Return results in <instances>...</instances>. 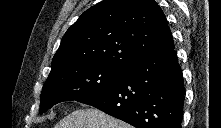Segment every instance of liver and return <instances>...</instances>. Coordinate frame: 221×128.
Returning a JSON list of instances; mask_svg holds the SVG:
<instances>
[{
    "label": "liver",
    "instance_id": "liver-1",
    "mask_svg": "<svg viewBox=\"0 0 221 128\" xmlns=\"http://www.w3.org/2000/svg\"><path fill=\"white\" fill-rule=\"evenodd\" d=\"M55 128H132L96 108L78 109L64 117Z\"/></svg>",
    "mask_w": 221,
    "mask_h": 128
}]
</instances>
